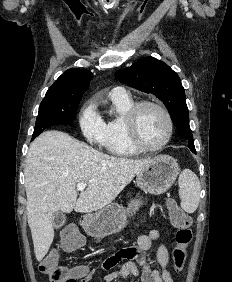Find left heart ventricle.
<instances>
[{"label": "left heart ventricle", "instance_id": "b2bd125f", "mask_svg": "<svg viewBox=\"0 0 232 282\" xmlns=\"http://www.w3.org/2000/svg\"><path fill=\"white\" fill-rule=\"evenodd\" d=\"M137 128L141 141L148 146L161 143L168 131L163 114L153 107H145L141 110Z\"/></svg>", "mask_w": 232, "mask_h": 282}]
</instances>
